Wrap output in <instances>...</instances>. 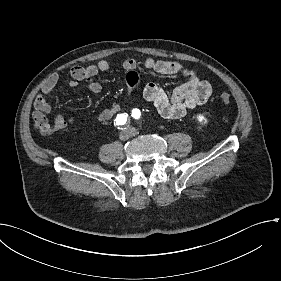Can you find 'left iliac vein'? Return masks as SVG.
<instances>
[{
    "label": "left iliac vein",
    "mask_w": 281,
    "mask_h": 281,
    "mask_svg": "<svg viewBox=\"0 0 281 281\" xmlns=\"http://www.w3.org/2000/svg\"><path fill=\"white\" fill-rule=\"evenodd\" d=\"M130 134H131L132 136H134V135H136V134H137V132H136V130H135V129L130 128Z\"/></svg>",
    "instance_id": "obj_1"
}]
</instances>
